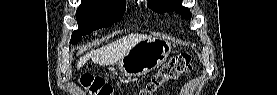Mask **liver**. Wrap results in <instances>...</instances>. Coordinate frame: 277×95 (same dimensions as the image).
Here are the masks:
<instances>
[{
    "label": "liver",
    "instance_id": "liver-1",
    "mask_svg": "<svg viewBox=\"0 0 277 95\" xmlns=\"http://www.w3.org/2000/svg\"><path fill=\"white\" fill-rule=\"evenodd\" d=\"M143 34H130L96 50H91L77 62L80 69L91 58L95 64L107 66L117 63L139 41L149 38Z\"/></svg>",
    "mask_w": 277,
    "mask_h": 95
}]
</instances>
